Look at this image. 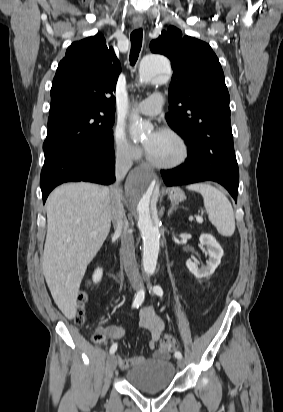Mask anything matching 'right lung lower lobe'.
I'll return each mask as SVG.
<instances>
[{
  "label": "right lung lower lobe",
  "mask_w": 283,
  "mask_h": 412,
  "mask_svg": "<svg viewBox=\"0 0 283 412\" xmlns=\"http://www.w3.org/2000/svg\"><path fill=\"white\" fill-rule=\"evenodd\" d=\"M114 158V149L97 151L70 148L45 155L40 178L43 203L49 193L64 182L112 183L115 180Z\"/></svg>",
  "instance_id": "right-lung-lower-lobe-1"
}]
</instances>
